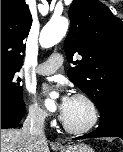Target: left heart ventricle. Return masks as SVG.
Instances as JSON below:
<instances>
[{"instance_id": "b2bd125f", "label": "left heart ventricle", "mask_w": 123, "mask_h": 152, "mask_svg": "<svg viewBox=\"0 0 123 152\" xmlns=\"http://www.w3.org/2000/svg\"><path fill=\"white\" fill-rule=\"evenodd\" d=\"M91 118V112L87 104L81 100L72 98L64 121L72 127H83Z\"/></svg>"}]
</instances>
